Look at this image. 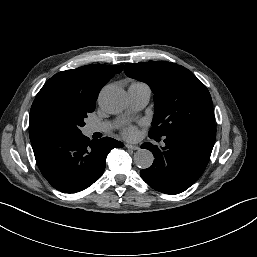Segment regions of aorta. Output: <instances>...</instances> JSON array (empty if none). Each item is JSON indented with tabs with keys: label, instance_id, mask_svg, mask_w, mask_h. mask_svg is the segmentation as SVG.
Returning <instances> with one entry per match:
<instances>
[{
	"label": "aorta",
	"instance_id": "aorta-1",
	"mask_svg": "<svg viewBox=\"0 0 257 257\" xmlns=\"http://www.w3.org/2000/svg\"><path fill=\"white\" fill-rule=\"evenodd\" d=\"M100 106L109 113H118L124 109L127 104L126 93L119 87L106 86L99 94ZM154 161V156L147 149H139L134 154V163L142 169L149 168Z\"/></svg>",
	"mask_w": 257,
	"mask_h": 257
}]
</instances>
